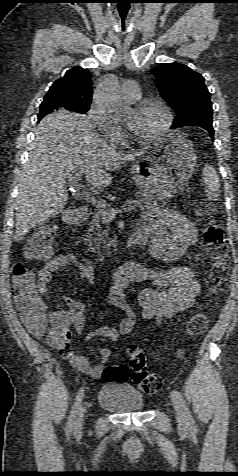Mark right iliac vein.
Here are the masks:
<instances>
[{
  "mask_svg": "<svg viewBox=\"0 0 238 476\" xmlns=\"http://www.w3.org/2000/svg\"><path fill=\"white\" fill-rule=\"evenodd\" d=\"M83 424H84V410L81 409V411L79 412V414L77 416V419L75 421V425H74V432H75L76 435H78L82 432Z\"/></svg>",
  "mask_w": 238,
  "mask_h": 476,
  "instance_id": "63e3f726",
  "label": "right iliac vein"
}]
</instances>
